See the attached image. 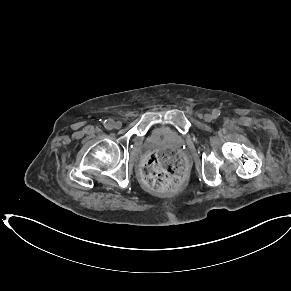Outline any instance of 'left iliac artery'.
Returning <instances> with one entry per match:
<instances>
[{
    "instance_id": "obj_1",
    "label": "left iliac artery",
    "mask_w": 291,
    "mask_h": 291,
    "mask_svg": "<svg viewBox=\"0 0 291 291\" xmlns=\"http://www.w3.org/2000/svg\"><path fill=\"white\" fill-rule=\"evenodd\" d=\"M213 118H218L220 115V111L218 109H214L212 112Z\"/></svg>"
}]
</instances>
